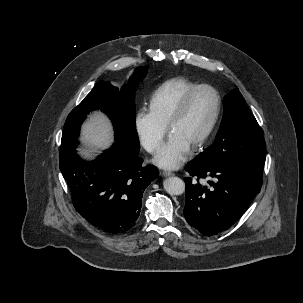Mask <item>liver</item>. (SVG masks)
<instances>
[{
	"instance_id": "liver-1",
	"label": "liver",
	"mask_w": 303,
	"mask_h": 303,
	"mask_svg": "<svg viewBox=\"0 0 303 303\" xmlns=\"http://www.w3.org/2000/svg\"><path fill=\"white\" fill-rule=\"evenodd\" d=\"M81 139L90 147L107 148L113 141L109 120L102 113L95 112L82 126ZM89 152L88 150H82L81 153L90 156Z\"/></svg>"
}]
</instances>
